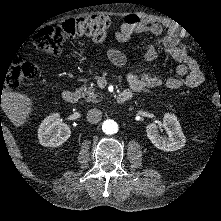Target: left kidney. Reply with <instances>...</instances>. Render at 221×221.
<instances>
[{
	"label": "left kidney",
	"instance_id": "left-kidney-1",
	"mask_svg": "<svg viewBox=\"0 0 221 221\" xmlns=\"http://www.w3.org/2000/svg\"><path fill=\"white\" fill-rule=\"evenodd\" d=\"M166 131V135H160L159 129ZM147 137L152 144L163 151L171 152L181 149L186 142L184 133L175 114L165 113L163 122L151 123L146 127Z\"/></svg>",
	"mask_w": 221,
	"mask_h": 221
}]
</instances>
